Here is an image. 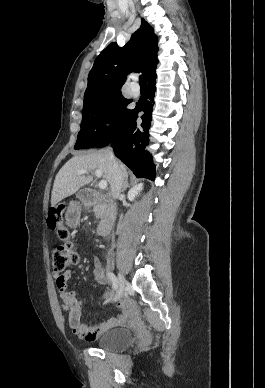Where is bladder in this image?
<instances>
[{
	"label": "bladder",
	"instance_id": "obj_1",
	"mask_svg": "<svg viewBox=\"0 0 265 388\" xmlns=\"http://www.w3.org/2000/svg\"><path fill=\"white\" fill-rule=\"evenodd\" d=\"M132 345L130 329H113L98 339V346L102 350L124 349Z\"/></svg>",
	"mask_w": 265,
	"mask_h": 388
}]
</instances>
